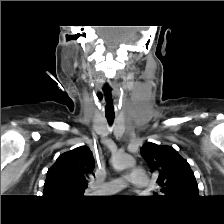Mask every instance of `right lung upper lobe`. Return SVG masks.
Here are the masks:
<instances>
[{"mask_svg":"<svg viewBox=\"0 0 224 224\" xmlns=\"http://www.w3.org/2000/svg\"><path fill=\"white\" fill-rule=\"evenodd\" d=\"M94 158L87 146L60 155L48 170L43 196H81L93 174Z\"/></svg>","mask_w":224,"mask_h":224,"instance_id":"obj_1","label":"right lung upper lobe"}]
</instances>
